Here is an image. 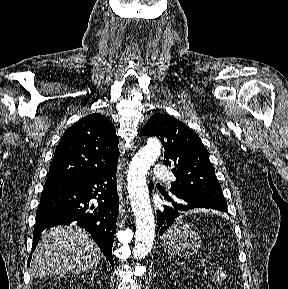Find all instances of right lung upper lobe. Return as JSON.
<instances>
[{
  "label": "right lung upper lobe",
  "mask_w": 288,
  "mask_h": 289,
  "mask_svg": "<svg viewBox=\"0 0 288 289\" xmlns=\"http://www.w3.org/2000/svg\"><path fill=\"white\" fill-rule=\"evenodd\" d=\"M119 139L114 125L91 114L67 129L51 162L46 184L92 174L118 162Z\"/></svg>",
  "instance_id": "1"
}]
</instances>
